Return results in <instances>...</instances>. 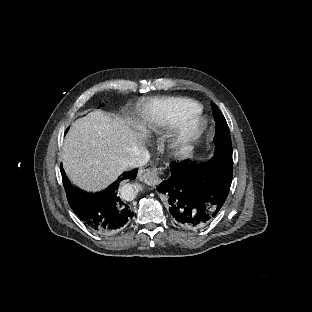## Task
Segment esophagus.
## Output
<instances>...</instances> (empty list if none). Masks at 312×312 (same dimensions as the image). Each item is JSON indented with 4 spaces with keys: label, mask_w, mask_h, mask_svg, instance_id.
<instances>
[{
    "label": "esophagus",
    "mask_w": 312,
    "mask_h": 312,
    "mask_svg": "<svg viewBox=\"0 0 312 312\" xmlns=\"http://www.w3.org/2000/svg\"><path fill=\"white\" fill-rule=\"evenodd\" d=\"M159 170V169H158ZM137 177L143 180L146 184L155 186L160 183L157 170H139Z\"/></svg>",
    "instance_id": "esophagus-1"
}]
</instances>
